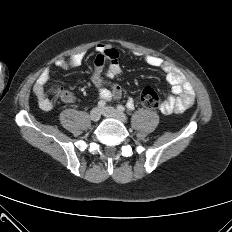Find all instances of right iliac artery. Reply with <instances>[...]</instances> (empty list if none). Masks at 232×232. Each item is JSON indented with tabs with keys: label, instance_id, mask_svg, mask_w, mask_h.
I'll return each mask as SVG.
<instances>
[{
	"label": "right iliac artery",
	"instance_id": "82829eb1",
	"mask_svg": "<svg viewBox=\"0 0 232 232\" xmlns=\"http://www.w3.org/2000/svg\"><path fill=\"white\" fill-rule=\"evenodd\" d=\"M105 105H106V102H105L104 100H100V101L98 102V107H99V108H104Z\"/></svg>",
	"mask_w": 232,
	"mask_h": 232
}]
</instances>
